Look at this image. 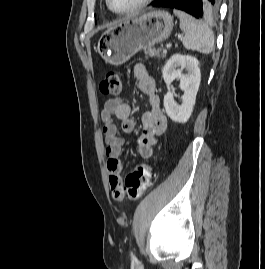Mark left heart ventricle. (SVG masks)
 <instances>
[{
  "label": "left heart ventricle",
  "mask_w": 265,
  "mask_h": 269,
  "mask_svg": "<svg viewBox=\"0 0 265 269\" xmlns=\"http://www.w3.org/2000/svg\"><path fill=\"white\" fill-rule=\"evenodd\" d=\"M111 5L116 10H126L132 8L141 0H110Z\"/></svg>",
  "instance_id": "obj_1"
}]
</instances>
